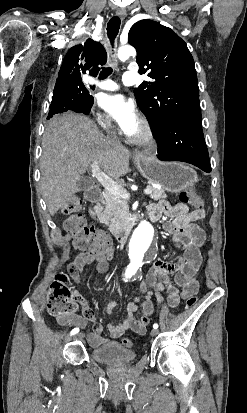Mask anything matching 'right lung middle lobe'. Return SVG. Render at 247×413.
Wrapping results in <instances>:
<instances>
[{"mask_svg": "<svg viewBox=\"0 0 247 413\" xmlns=\"http://www.w3.org/2000/svg\"><path fill=\"white\" fill-rule=\"evenodd\" d=\"M89 91L86 89L82 81L75 82H59L55 84L53 97L62 96H88Z\"/></svg>", "mask_w": 247, "mask_h": 413, "instance_id": "dd1d6c3e", "label": "right lung middle lobe"}]
</instances>
